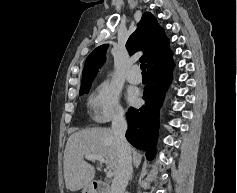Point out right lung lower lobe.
<instances>
[{"label": "right lung lower lobe", "instance_id": "1", "mask_svg": "<svg viewBox=\"0 0 237 193\" xmlns=\"http://www.w3.org/2000/svg\"><path fill=\"white\" fill-rule=\"evenodd\" d=\"M173 67L172 53L148 67L149 82L143 92L145 105L140 109L130 108L126 114L129 123L126 139L135 148L145 150L147 159H152L155 154L159 109L171 83Z\"/></svg>", "mask_w": 237, "mask_h": 193}]
</instances>
